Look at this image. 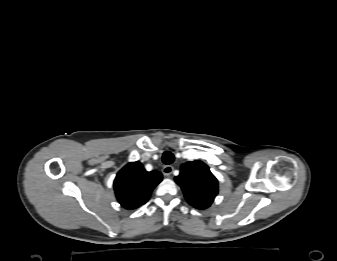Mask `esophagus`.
I'll use <instances>...</instances> for the list:
<instances>
[{"label": "esophagus", "instance_id": "1", "mask_svg": "<svg viewBox=\"0 0 337 261\" xmlns=\"http://www.w3.org/2000/svg\"><path fill=\"white\" fill-rule=\"evenodd\" d=\"M173 170H174L173 166L166 165L163 167L162 173L164 176L169 177L172 174Z\"/></svg>", "mask_w": 337, "mask_h": 261}]
</instances>
